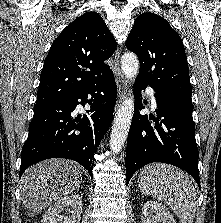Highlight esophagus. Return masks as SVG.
<instances>
[{
    "instance_id": "obj_1",
    "label": "esophagus",
    "mask_w": 221,
    "mask_h": 223,
    "mask_svg": "<svg viewBox=\"0 0 221 223\" xmlns=\"http://www.w3.org/2000/svg\"><path fill=\"white\" fill-rule=\"evenodd\" d=\"M119 57H120L119 50H117L115 53L114 62H113V72L115 75V81H116V86H117V106L120 105L127 91V82L124 78V75L122 74L120 70Z\"/></svg>"
}]
</instances>
